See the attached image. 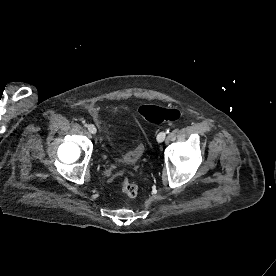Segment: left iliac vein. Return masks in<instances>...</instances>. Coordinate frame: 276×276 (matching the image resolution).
Masks as SVG:
<instances>
[{
  "label": "left iliac vein",
  "mask_w": 276,
  "mask_h": 276,
  "mask_svg": "<svg viewBox=\"0 0 276 276\" xmlns=\"http://www.w3.org/2000/svg\"><path fill=\"white\" fill-rule=\"evenodd\" d=\"M166 138V132L162 131L157 135V141L163 142Z\"/></svg>",
  "instance_id": "1"
}]
</instances>
